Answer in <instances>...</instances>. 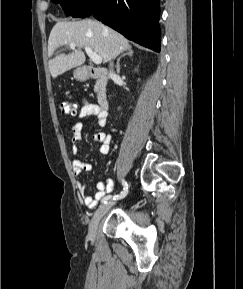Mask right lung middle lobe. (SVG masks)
<instances>
[{
    "instance_id": "dd1d6c3e",
    "label": "right lung middle lobe",
    "mask_w": 243,
    "mask_h": 289,
    "mask_svg": "<svg viewBox=\"0 0 243 289\" xmlns=\"http://www.w3.org/2000/svg\"><path fill=\"white\" fill-rule=\"evenodd\" d=\"M54 3H60L66 15H72L75 11L87 4L90 0H52Z\"/></svg>"
}]
</instances>
